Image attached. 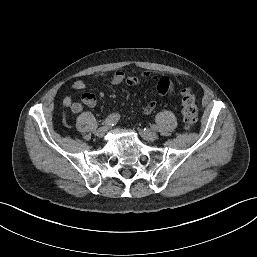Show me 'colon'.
<instances>
[{
	"label": "colon",
	"instance_id": "1",
	"mask_svg": "<svg viewBox=\"0 0 257 257\" xmlns=\"http://www.w3.org/2000/svg\"><path fill=\"white\" fill-rule=\"evenodd\" d=\"M181 105L184 127L191 129L197 122L198 108L195 96L188 89L181 93Z\"/></svg>",
	"mask_w": 257,
	"mask_h": 257
}]
</instances>
